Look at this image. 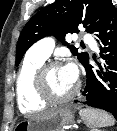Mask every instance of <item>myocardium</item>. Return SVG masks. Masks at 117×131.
I'll list each match as a JSON object with an SVG mask.
<instances>
[{"label":"myocardium","mask_w":117,"mask_h":131,"mask_svg":"<svg viewBox=\"0 0 117 131\" xmlns=\"http://www.w3.org/2000/svg\"><path fill=\"white\" fill-rule=\"evenodd\" d=\"M61 63L58 61H51L44 63L38 70L35 76V90L41 100L50 104H62L71 101L80 91V83L77 82L74 89L65 96H55L49 90L46 74L49 70L60 67Z\"/></svg>","instance_id":"1"}]
</instances>
